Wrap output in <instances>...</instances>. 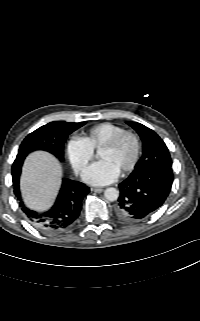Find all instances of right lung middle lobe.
I'll return each instance as SVG.
<instances>
[{"instance_id": "obj_1", "label": "right lung middle lobe", "mask_w": 200, "mask_h": 321, "mask_svg": "<svg viewBox=\"0 0 200 321\" xmlns=\"http://www.w3.org/2000/svg\"><path fill=\"white\" fill-rule=\"evenodd\" d=\"M86 122L71 123L64 121L50 122L27 135L21 143L17 157H26L35 150H44L60 161L64 160V143L69 134L82 127Z\"/></svg>"}]
</instances>
